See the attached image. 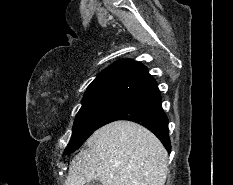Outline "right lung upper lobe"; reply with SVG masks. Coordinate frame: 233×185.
I'll return each instance as SVG.
<instances>
[{"mask_svg": "<svg viewBox=\"0 0 233 185\" xmlns=\"http://www.w3.org/2000/svg\"><path fill=\"white\" fill-rule=\"evenodd\" d=\"M152 79L147 68L139 62L119 60L104 69L88 86L86 93L107 89H125L131 91Z\"/></svg>", "mask_w": 233, "mask_h": 185, "instance_id": "1", "label": "right lung upper lobe"}]
</instances>
